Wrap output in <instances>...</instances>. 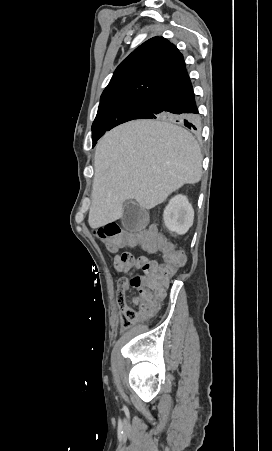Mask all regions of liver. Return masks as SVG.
Segmentation results:
<instances>
[{
    "label": "liver",
    "mask_w": 272,
    "mask_h": 451,
    "mask_svg": "<svg viewBox=\"0 0 272 451\" xmlns=\"http://www.w3.org/2000/svg\"><path fill=\"white\" fill-rule=\"evenodd\" d=\"M202 160L194 136L172 116L113 128L96 146L89 226L122 218L126 200L151 210L184 184H197Z\"/></svg>",
    "instance_id": "obj_1"
}]
</instances>
